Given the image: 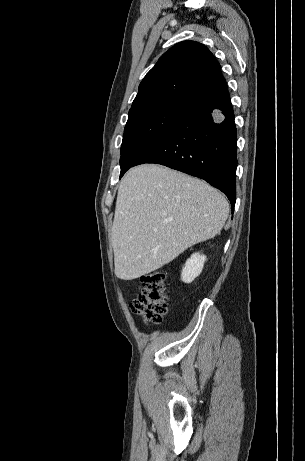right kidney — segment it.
<instances>
[{"instance_id": "obj_1", "label": "right kidney", "mask_w": 305, "mask_h": 461, "mask_svg": "<svg viewBox=\"0 0 305 461\" xmlns=\"http://www.w3.org/2000/svg\"><path fill=\"white\" fill-rule=\"evenodd\" d=\"M206 256L199 253H194L187 259L185 266L182 269L181 279L185 283H191L202 272Z\"/></svg>"}]
</instances>
